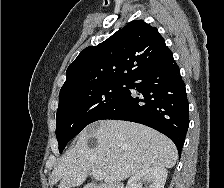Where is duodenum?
<instances>
[{"label": "duodenum", "instance_id": "duodenum-1", "mask_svg": "<svg viewBox=\"0 0 224 188\" xmlns=\"http://www.w3.org/2000/svg\"><path fill=\"white\" fill-rule=\"evenodd\" d=\"M85 188H108V187L99 186V185H87Z\"/></svg>", "mask_w": 224, "mask_h": 188}]
</instances>
